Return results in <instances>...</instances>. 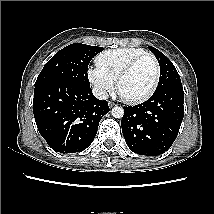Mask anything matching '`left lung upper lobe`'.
<instances>
[{
    "label": "left lung upper lobe",
    "mask_w": 214,
    "mask_h": 214,
    "mask_svg": "<svg viewBox=\"0 0 214 214\" xmlns=\"http://www.w3.org/2000/svg\"><path fill=\"white\" fill-rule=\"evenodd\" d=\"M149 50L154 53L160 65V79L155 91L169 85L181 84L180 76L172 62L156 48L149 46Z\"/></svg>",
    "instance_id": "obj_1"
}]
</instances>
